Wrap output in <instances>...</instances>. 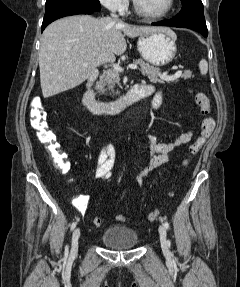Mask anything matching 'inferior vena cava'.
<instances>
[{
  "label": "inferior vena cava",
  "instance_id": "obj_1",
  "mask_svg": "<svg viewBox=\"0 0 240 287\" xmlns=\"http://www.w3.org/2000/svg\"><path fill=\"white\" fill-rule=\"evenodd\" d=\"M111 16H112L114 19H117V17H118V16L115 14V11H112Z\"/></svg>",
  "mask_w": 240,
  "mask_h": 287
}]
</instances>
